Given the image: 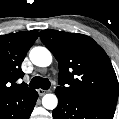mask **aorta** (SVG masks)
<instances>
[{
	"label": "aorta",
	"mask_w": 119,
	"mask_h": 119,
	"mask_svg": "<svg viewBox=\"0 0 119 119\" xmlns=\"http://www.w3.org/2000/svg\"><path fill=\"white\" fill-rule=\"evenodd\" d=\"M30 60L32 63L39 67H47L52 62V55L50 51L45 47H34L30 51ZM58 99L54 94H46L42 98V105L49 110L56 108Z\"/></svg>",
	"instance_id": "1"
}]
</instances>
